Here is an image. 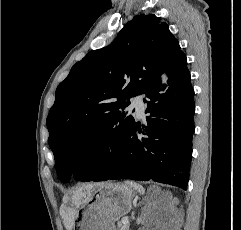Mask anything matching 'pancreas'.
I'll return each mask as SVG.
<instances>
[{
    "instance_id": "pancreas-1",
    "label": "pancreas",
    "mask_w": 241,
    "mask_h": 230,
    "mask_svg": "<svg viewBox=\"0 0 241 230\" xmlns=\"http://www.w3.org/2000/svg\"><path fill=\"white\" fill-rule=\"evenodd\" d=\"M118 230H129V225H121Z\"/></svg>"
}]
</instances>
